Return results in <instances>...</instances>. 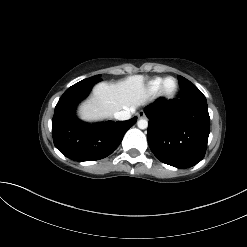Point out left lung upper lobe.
Wrapping results in <instances>:
<instances>
[{
  "label": "left lung upper lobe",
  "mask_w": 247,
  "mask_h": 247,
  "mask_svg": "<svg viewBox=\"0 0 247 247\" xmlns=\"http://www.w3.org/2000/svg\"><path fill=\"white\" fill-rule=\"evenodd\" d=\"M178 80H179V85H180L181 89H183L187 86H190V85H194L193 83H191L189 80H187L186 78H184L182 76H178Z\"/></svg>",
  "instance_id": "left-lung-upper-lobe-1"
}]
</instances>
